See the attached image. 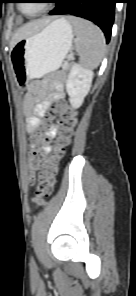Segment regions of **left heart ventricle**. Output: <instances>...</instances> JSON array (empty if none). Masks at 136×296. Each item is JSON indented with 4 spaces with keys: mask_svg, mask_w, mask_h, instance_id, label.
<instances>
[{
    "mask_svg": "<svg viewBox=\"0 0 136 296\" xmlns=\"http://www.w3.org/2000/svg\"><path fill=\"white\" fill-rule=\"evenodd\" d=\"M45 4L46 3H39V2L31 1L28 3H24L23 7L27 13L33 14V13H36L39 10H41Z\"/></svg>",
    "mask_w": 136,
    "mask_h": 296,
    "instance_id": "left-heart-ventricle-1",
    "label": "left heart ventricle"
}]
</instances>
